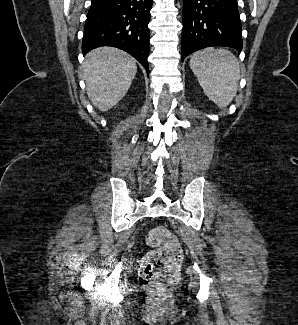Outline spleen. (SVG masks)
<instances>
[{
    "label": "spleen",
    "instance_id": "3e777b00",
    "mask_svg": "<svg viewBox=\"0 0 298 325\" xmlns=\"http://www.w3.org/2000/svg\"><path fill=\"white\" fill-rule=\"evenodd\" d=\"M190 66L208 98L224 108L234 98L240 78L239 62L226 48H205L194 52Z\"/></svg>",
    "mask_w": 298,
    "mask_h": 325
}]
</instances>
